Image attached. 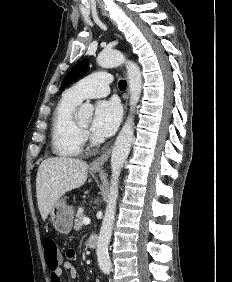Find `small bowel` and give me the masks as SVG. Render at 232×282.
Masks as SVG:
<instances>
[{"label": "small bowel", "mask_w": 232, "mask_h": 282, "mask_svg": "<svg viewBox=\"0 0 232 282\" xmlns=\"http://www.w3.org/2000/svg\"><path fill=\"white\" fill-rule=\"evenodd\" d=\"M66 258L67 260L59 268L51 272V282H65L63 279L64 272H67L71 279H75L77 277L78 272L73 263L76 258L75 251L72 249H68L66 251Z\"/></svg>", "instance_id": "1"}]
</instances>
